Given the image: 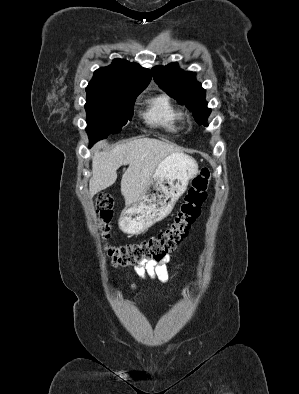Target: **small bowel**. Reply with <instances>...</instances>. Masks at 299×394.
Here are the masks:
<instances>
[{
  "label": "small bowel",
  "mask_w": 299,
  "mask_h": 394,
  "mask_svg": "<svg viewBox=\"0 0 299 394\" xmlns=\"http://www.w3.org/2000/svg\"><path fill=\"white\" fill-rule=\"evenodd\" d=\"M170 257H165L162 260H149L140 263L134 267L136 275L141 279H157L162 283H167L169 280V269L168 262ZM129 285L131 288L135 287V283L132 279H129Z\"/></svg>",
  "instance_id": "small-bowel-1"
}]
</instances>
